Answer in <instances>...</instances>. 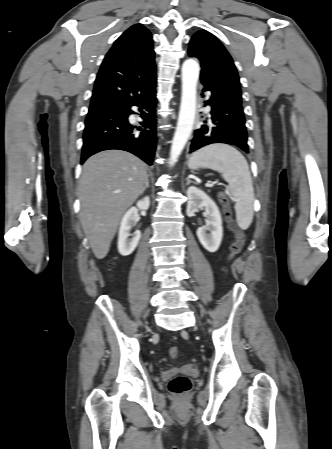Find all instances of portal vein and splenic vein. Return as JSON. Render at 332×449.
<instances>
[{
  "label": "portal vein and splenic vein",
  "instance_id": "obj_1",
  "mask_svg": "<svg viewBox=\"0 0 332 449\" xmlns=\"http://www.w3.org/2000/svg\"><path fill=\"white\" fill-rule=\"evenodd\" d=\"M206 186H207V187H212V186H213V183H209V184H207Z\"/></svg>",
  "mask_w": 332,
  "mask_h": 449
}]
</instances>
